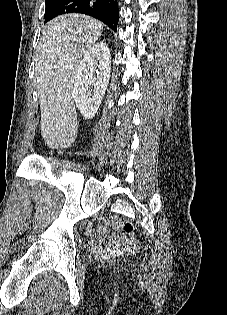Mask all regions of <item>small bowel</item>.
<instances>
[{
  "label": "small bowel",
  "mask_w": 227,
  "mask_h": 315,
  "mask_svg": "<svg viewBox=\"0 0 227 315\" xmlns=\"http://www.w3.org/2000/svg\"><path fill=\"white\" fill-rule=\"evenodd\" d=\"M98 232L105 234L107 232V226L100 227ZM120 241L117 237H113L109 242L98 241L97 246L102 250L112 251L119 247Z\"/></svg>",
  "instance_id": "obj_1"
}]
</instances>
